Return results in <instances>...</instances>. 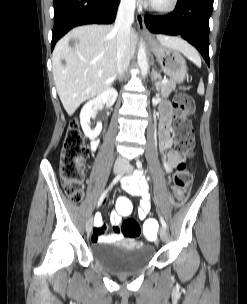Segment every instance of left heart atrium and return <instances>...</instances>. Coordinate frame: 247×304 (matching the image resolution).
Returning <instances> with one entry per match:
<instances>
[{
	"label": "left heart atrium",
	"instance_id": "1",
	"mask_svg": "<svg viewBox=\"0 0 247 304\" xmlns=\"http://www.w3.org/2000/svg\"><path fill=\"white\" fill-rule=\"evenodd\" d=\"M144 1H146V2H148V3H151L153 0H144Z\"/></svg>",
	"mask_w": 247,
	"mask_h": 304
}]
</instances>
